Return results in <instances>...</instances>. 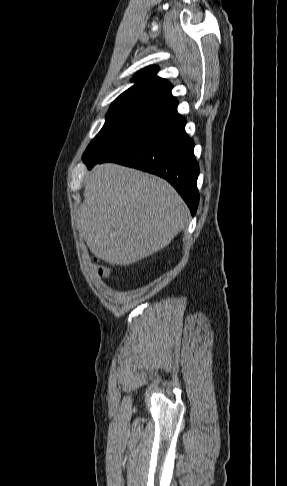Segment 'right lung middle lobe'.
Listing matches in <instances>:
<instances>
[{
	"label": "right lung middle lobe",
	"mask_w": 287,
	"mask_h": 486,
	"mask_svg": "<svg viewBox=\"0 0 287 486\" xmlns=\"http://www.w3.org/2000/svg\"><path fill=\"white\" fill-rule=\"evenodd\" d=\"M172 113L150 106H112L103 128L87 147L83 161L86 165L97 162L154 128Z\"/></svg>",
	"instance_id": "right-lung-middle-lobe-1"
}]
</instances>
